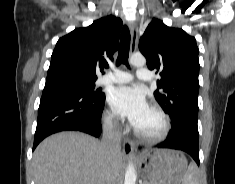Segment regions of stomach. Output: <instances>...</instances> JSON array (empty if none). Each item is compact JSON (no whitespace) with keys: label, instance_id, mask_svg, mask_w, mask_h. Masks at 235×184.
<instances>
[{"label":"stomach","instance_id":"1","mask_svg":"<svg viewBox=\"0 0 235 184\" xmlns=\"http://www.w3.org/2000/svg\"><path fill=\"white\" fill-rule=\"evenodd\" d=\"M138 170L147 184H181L188 162L178 150L143 152L137 158Z\"/></svg>","mask_w":235,"mask_h":184}]
</instances>
